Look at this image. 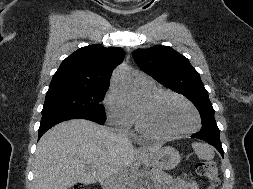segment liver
Instances as JSON below:
<instances>
[{
    "label": "liver",
    "instance_id": "liver-1",
    "mask_svg": "<svg viewBox=\"0 0 253 189\" xmlns=\"http://www.w3.org/2000/svg\"><path fill=\"white\" fill-rule=\"evenodd\" d=\"M158 150V146L148 149L149 153ZM135 160L133 146L106 127L84 119L65 121L47 131L37 144L34 189L104 182L113 171H127Z\"/></svg>",
    "mask_w": 253,
    "mask_h": 189
}]
</instances>
